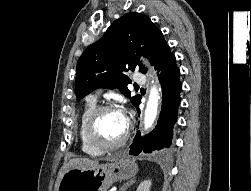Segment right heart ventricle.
<instances>
[{
    "mask_svg": "<svg viewBox=\"0 0 251 191\" xmlns=\"http://www.w3.org/2000/svg\"><path fill=\"white\" fill-rule=\"evenodd\" d=\"M97 107L96 99H87L84 103L83 109L78 118V125L76 131V141L78 149L81 154L91 158L100 157L103 151L93 148L90 146L85 138V125L92 111Z\"/></svg>",
    "mask_w": 251,
    "mask_h": 191,
    "instance_id": "right-heart-ventricle-1",
    "label": "right heart ventricle"
}]
</instances>
